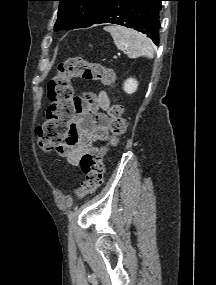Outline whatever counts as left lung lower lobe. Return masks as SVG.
Masks as SVG:
<instances>
[{
	"label": "left lung lower lobe",
	"mask_w": 216,
	"mask_h": 285,
	"mask_svg": "<svg viewBox=\"0 0 216 285\" xmlns=\"http://www.w3.org/2000/svg\"><path fill=\"white\" fill-rule=\"evenodd\" d=\"M161 1L164 0H112L92 25L112 23L133 28L158 45Z\"/></svg>",
	"instance_id": "1"
}]
</instances>
